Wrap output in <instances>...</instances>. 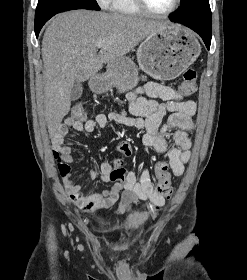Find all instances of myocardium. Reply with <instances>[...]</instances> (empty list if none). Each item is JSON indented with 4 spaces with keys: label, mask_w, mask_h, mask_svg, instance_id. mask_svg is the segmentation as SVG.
I'll list each match as a JSON object with an SVG mask.
<instances>
[{
    "label": "myocardium",
    "mask_w": 247,
    "mask_h": 280,
    "mask_svg": "<svg viewBox=\"0 0 247 280\" xmlns=\"http://www.w3.org/2000/svg\"><path fill=\"white\" fill-rule=\"evenodd\" d=\"M135 3L140 8V10L142 12H144L145 14H148L153 17L165 18V17L172 15L179 8V6L181 4V0H174L172 7L165 12H156V11L152 10L147 5L145 0H135Z\"/></svg>",
    "instance_id": "f54148a6"
}]
</instances>
